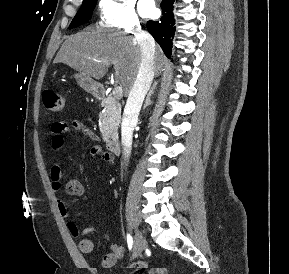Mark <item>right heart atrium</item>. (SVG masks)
<instances>
[{
    "mask_svg": "<svg viewBox=\"0 0 289 274\" xmlns=\"http://www.w3.org/2000/svg\"><path fill=\"white\" fill-rule=\"evenodd\" d=\"M99 26L125 33L140 28V18L131 0H99Z\"/></svg>",
    "mask_w": 289,
    "mask_h": 274,
    "instance_id": "d8ad5b80",
    "label": "right heart atrium"
}]
</instances>
